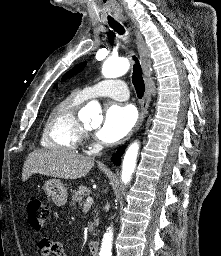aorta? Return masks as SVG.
Instances as JSON below:
<instances>
[{
	"mask_svg": "<svg viewBox=\"0 0 221 256\" xmlns=\"http://www.w3.org/2000/svg\"><path fill=\"white\" fill-rule=\"evenodd\" d=\"M130 68V63L126 58L118 59H108L103 63L102 66V75L105 78H116L124 75L128 72ZM101 113L100 104L93 100L90 101L81 111L80 114L86 115L93 119L100 118L99 114ZM139 151V142H133L125 152L123 163H122V173L121 180L124 184L130 182L132 174L134 173L137 156ZM112 238L113 231L109 227L107 232L103 236V241L100 249V256H110L112 248Z\"/></svg>",
	"mask_w": 221,
	"mask_h": 256,
	"instance_id": "obj_1",
	"label": "aorta"
}]
</instances>
